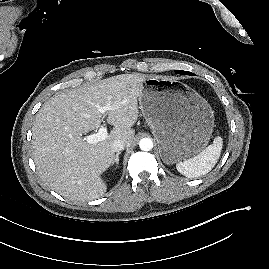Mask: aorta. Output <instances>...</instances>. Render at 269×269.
<instances>
[{"label": "aorta", "instance_id": "762f6f07", "mask_svg": "<svg viewBox=\"0 0 269 269\" xmlns=\"http://www.w3.org/2000/svg\"><path fill=\"white\" fill-rule=\"evenodd\" d=\"M139 147L143 151H150L153 148V142L150 138H143L139 142Z\"/></svg>", "mask_w": 269, "mask_h": 269}]
</instances>
